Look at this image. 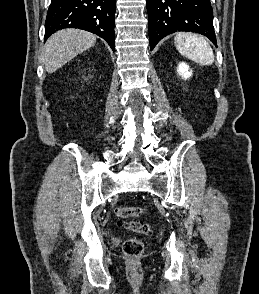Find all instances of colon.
I'll return each mask as SVG.
<instances>
[{"instance_id": "colon-1", "label": "colon", "mask_w": 259, "mask_h": 294, "mask_svg": "<svg viewBox=\"0 0 259 294\" xmlns=\"http://www.w3.org/2000/svg\"><path fill=\"white\" fill-rule=\"evenodd\" d=\"M116 216L121 218H137L144 213V209L139 206L132 207H116L114 209ZM123 227L127 230L142 234H149L152 227L149 223L142 221H128L123 223ZM144 243L139 239H127L123 242L122 251L129 257H138L144 252Z\"/></svg>"}]
</instances>
